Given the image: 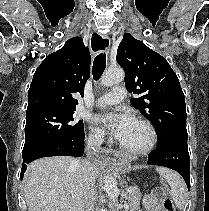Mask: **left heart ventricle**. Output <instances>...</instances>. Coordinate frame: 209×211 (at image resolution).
<instances>
[{"instance_id": "b2bd125f", "label": "left heart ventricle", "mask_w": 209, "mask_h": 211, "mask_svg": "<svg viewBox=\"0 0 209 211\" xmlns=\"http://www.w3.org/2000/svg\"><path fill=\"white\" fill-rule=\"evenodd\" d=\"M148 134L146 129L139 123H133L129 133L125 137L121 144L128 148H140L147 142Z\"/></svg>"}]
</instances>
